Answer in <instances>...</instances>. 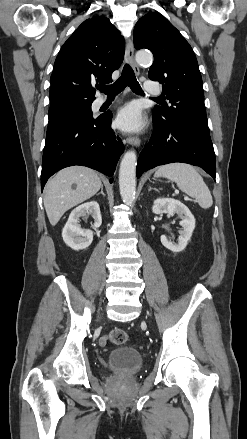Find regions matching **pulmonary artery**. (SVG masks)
I'll list each match as a JSON object with an SVG mask.
<instances>
[{"instance_id":"obj_1","label":"pulmonary artery","mask_w":247,"mask_h":439,"mask_svg":"<svg viewBox=\"0 0 247 439\" xmlns=\"http://www.w3.org/2000/svg\"><path fill=\"white\" fill-rule=\"evenodd\" d=\"M144 88L147 93L152 95H158L160 93V86L152 80H147L144 84Z\"/></svg>"}]
</instances>
